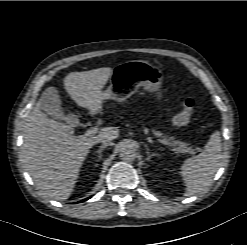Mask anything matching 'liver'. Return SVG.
<instances>
[{
  "instance_id": "obj_1",
  "label": "liver",
  "mask_w": 247,
  "mask_h": 245,
  "mask_svg": "<svg viewBox=\"0 0 247 245\" xmlns=\"http://www.w3.org/2000/svg\"><path fill=\"white\" fill-rule=\"evenodd\" d=\"M112 69L103 67L84 72H71L63 80L64 88L80 107L100 111ZM74 129L48 118L37 103L24 125L22 159L36 187L58 201H65L73 192L80 169L93 145L102 139L119 136L116 127L102 128L98 135L74 136Z\"/></svg>"
}]
</instances>
